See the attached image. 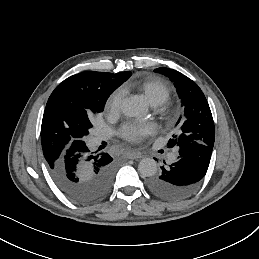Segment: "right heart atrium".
Instances as JSON below:
<instances>
[{"mask_svg":"<svg viewBox=\"0 0 259 259\" xmlns=\"http://www.w3.org/2000/svg\"><path fill=\"white\" fill-rule=\"evenodd\" d=\"M122 95L119 90H115L111 93V95L108 98L107 105L110 109L114 111H118L121 108L122 105Z\"/></svg>","mask_w":259,"mask_h":259,"instance_id":"d8ad5b80","label":"right heart atrium"}]
</instances>
